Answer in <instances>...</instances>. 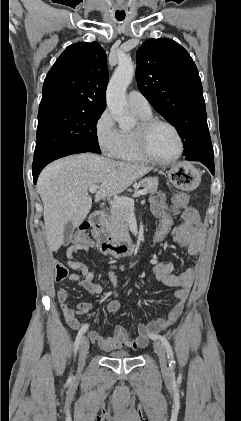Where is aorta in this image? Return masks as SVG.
<instances>
[{"instance_id":"aorta-1","label":"aorta","mask_w":241,"mask_h":421,"mask_svg":"<svg viewBox=\"0 0 241 421\" xmlns=\"http://www.w3.org/2000/svg\"><path fill=\"white\" fill-rule=\"evenodd\" d=\"M135 73V66L129 59L119 61L106 92L107 107L121 128L133 125L134 120L126 113V89Z\"/></svg>"}]
</instances>
